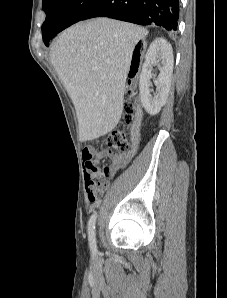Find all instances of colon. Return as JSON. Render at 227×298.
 Wrapping results in <instances>:
<instances>
[{
	"label": "colon",
	"mask_w": 227,
	"mask_h": 298,
	"mask_svg": "<svg viewBox=\"0 0 227 298\" xmlns=\"http://www.w3.org/2000/svg\"><path fill=\"white\" fill-rule=\"evenodd\" d=\"M134 71L131 72L133 75ZM134 93L132 91L128 92L129 100L125 104V120L130 123L134 120V115L136 112V106L132 101ZM103 143L107 148V151L111 153L122 154L126 152L129 148L127 136L123 130L116 129L109 132L103 139ZM88 198L90 201L94 202L100 197V193L96 187L89 189Z\"/></svg>",
	"instance_id": "obj_1"
}]
</instances>
